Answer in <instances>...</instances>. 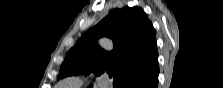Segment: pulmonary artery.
<instances>
[{
	"label": "pulmonary artery",
	"mask_w": 223,
	"mask_h": 88,
	"mask_svg": "<svg viewBox=\"0 0 223 88\" xmlns=\"http://www.w3.org/2000/svg\"><path fill=\"white\" fill-rule=\"evenodd\" d=\"M99 83L102 87L108 88L110 86L109 80L105 76L99 77ZM82 84V80L80 77L73 76L65 79L59 85L62 87H78Z\"/></svg>",
	"instance_id": "e3ab8cb5"
}]
</instances>
